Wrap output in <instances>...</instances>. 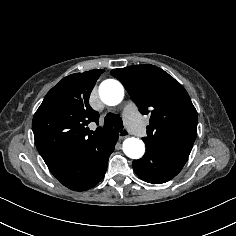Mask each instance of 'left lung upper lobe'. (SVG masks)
Masks as SVG:
<instances>
[{"mask_svg":"<svg viewBox=\"0 0 236 236\" xmlns=\"http://www.w3.org/2000/svg\"><path fill=\"white\" fill-rule=\"evenodd\" d=\"M142 114L151 112L147 147H162L188 157L197 135V112L185 88L157 66L114 69Z\"/></svg>","mask_w":236,"mask_h":236,"instance_id":"left-lung-upper-lobe-1","label":"left lung upper lobe"}]
</instances>
